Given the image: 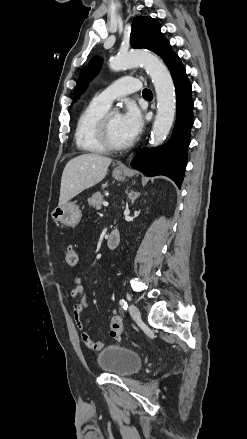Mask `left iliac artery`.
I'll use <instances>...</instances> for the list:
<instances>
[{"instance_id":"1","label":"left iliac artery","mask_w":247,"mask_h":439,"mask_svg":"<svg viewBox=\"0 0 247 439\" xmlns=\"http://www.w3.org/2000/svg\"><path fill=\"white\" fill-rule=\"evenodd\" d=\"M119 304L124 310H127L128 304L124 299H121Z\"/></svg>"}]
</instances>
